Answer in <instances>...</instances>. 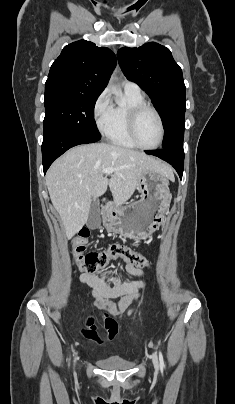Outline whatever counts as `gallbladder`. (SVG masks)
<instances>
[{"label":"gallbladder","mask_w":235,"mask_h":404,"mask_svg":"<svg viewBox=\"0 0 235 404\" xmlns=\"http://www.w3.org/2000/svg\"><path fill=\"white\" fill-rule=\"evenodd\" d=\"M100 223H101V216H100L98 204L96 201H92L90 210H89L88 220H87L86 224L89 229H96L100 226Z\"/></svg>","instance_id":"1"}]
</instances>
